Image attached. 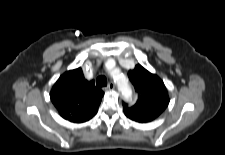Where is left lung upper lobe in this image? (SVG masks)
<instances>
[{"mask_svg": "<svg viewBox=\"0 0 225 155\" xmlns=\"http://www.w3.org/2000/svg\"><path fill=\"white\" fill-rule=\"evenodd\" d=\"M128 77L135 87L138 100L133 106L123 102L125 115L139 123L156 119L169 104V96L163 81L139 64L128 72Z\"/></svg>", "mask_w": 225, "mask_h": 155, "instance_id": "1", "label": "left lung upper lobe"}]
</instances>
